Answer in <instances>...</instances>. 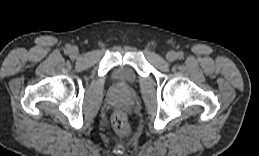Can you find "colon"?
<instances>
[{"instance_id": "5ec220e1", "label": "colon", "mask_w": 259, "mask_h": 156, "mask_svg": "<svg viewBox=\"0 0 259 156\" xmlns=\"http://www.w3.org/2000/svg\"><path fill=\"white\" fill-rule=\"evenodd\" d=\"M113 126L115 130L123 136H127L130 134V125L123 112L118 111L115 113L113 117Z\"/></svg>"}]
</instances>
